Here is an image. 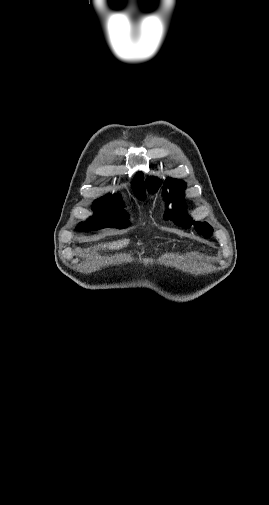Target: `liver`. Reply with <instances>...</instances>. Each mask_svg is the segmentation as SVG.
Here are the masks:
<instances>
[{
	"label": "liver",
	"instance_id": "6515ba94",
	"mask_svg": "<svg viewBox=\"0 0 269 505\" xmlns=\"http://www.w3.org/2000/svg\"><path fill=\"white\" fill-rule=\"evenodd\" d=\"M129 243V239H123V240H119V241H116V242H112V243H109V244H105L104 246H102L103 248L107 247L109 249H122L123 247H125L127 244Z\"/></svg>",
	"mask_w": 269,
	"mask_h": 505
}]
</instances>
